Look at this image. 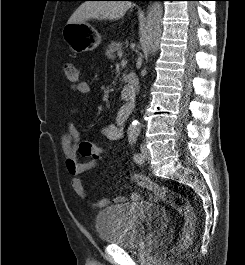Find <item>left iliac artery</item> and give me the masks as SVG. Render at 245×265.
<instances>
[{
    "label": "left iliac artery",
    "mask_w": 245,
    "mask_h": 265,
    "mask_svg": "<svg viewBox=\"0 0 245 265\" xmlns=\"http://www.w3.org/2000/svg\"><path fill=\"white\" fill-rule=\"evenodd\" d=\"M138 138V134L137 133H131L129 134V142L131 143V145L135 144ZM134 161L137 163H141L142 162V156L139 153L134 154Z\"/></svg>",
    "instance_id": "44dca946"
}]
</instances>
